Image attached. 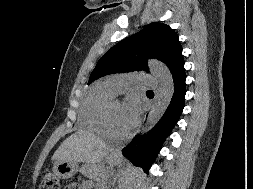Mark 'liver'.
<instances>
[{
	"instance_id": "liver-1",
	"label": "liver",
	"mask_w": 253,
	"mask_h": 189,
	"mask_svg": "<svg viewBox=\"0 0 253 189\" xmlns=\"http://www.w3.org/2000/svg\"><path fill=\"white\" fill-rule=\"evenodd\" d=\"M110 148L92 133L79 130L66 138L54 153L52 160L87 163L95 168L108 156Z\"/></svg>"
}]
</instances>
